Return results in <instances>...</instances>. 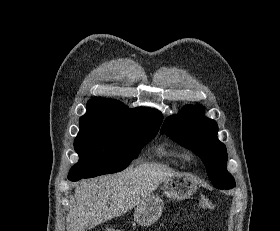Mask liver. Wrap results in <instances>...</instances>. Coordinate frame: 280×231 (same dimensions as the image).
I'll use <instances>...</instances> for the list:
<instances>
[{
	"label": "liver",
	"mask_w": 280,
	"mask_h": 231,
	"mask_svg": "<svg viewBox=\"0 0 280 231\" xmlns=\"http://www.w3.org/2000/svg\"><path fill=\"white\" fill-rule=\"evenodd\" d=\"M172 175H177V171L162 163H140L113 175L81 179L66 217L68 231H85L88 225L123 215L152 195L158 185Z\"/></svg>",
	"instance_id": "6515ba94"
}]
</instances>
